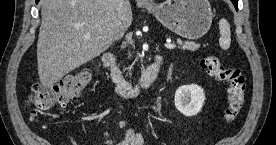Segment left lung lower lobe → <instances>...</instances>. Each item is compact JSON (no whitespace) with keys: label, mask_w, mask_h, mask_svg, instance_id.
I'll use <instances>...</instances> for the list:
<instances>
[{"label":"left lung lower lobe","mask_w":276,"mask_h":145,"mask_svg":"<svg viewBox=\"0 0 276 145\" xmlns=\"http://www.w3.org/2000/svg\"><path fill=\"white\" fill-rule=\"evenodd\" d=\"M231 1H232V3L234 4L236 10H238V5H237L238 0H231Z\"/></svg>","instance_id":"1"}]
</instances>
